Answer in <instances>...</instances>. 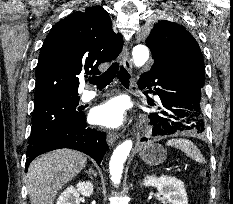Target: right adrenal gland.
<instances>
[{
  "mask_svg": "<svg viewBox=\"0 0 233 204\" xmlns=\"http://www.w3.org/2000/svg\"><path fill=\"white\" fill-rule=\"evenodd\" d=\"M86 172H87V173H88V172H89V173H92L95 177L97 176L96 173H95V171H94L93 169H91V168H90L88 171H86Z\"/></svg>",
  "mask_w": 233,
  "mask_h": 204,
  "instance_id": "obj_1",
  "label": "right adrenal gland"
}]
</instances>
